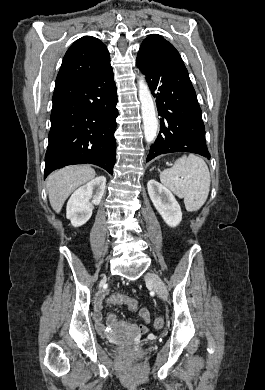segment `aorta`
I'll return each mask as SVG.
<instances>
[{
	"instance_id": "obj_1",
	"label": "aorta",
	"mask_w": 265,
	"mask_h": 390,
	"mask_svg": "<svg viewBox=\"0 0 265 390\" xmlns=\"http://www.w3.org/2000/svg\"><path fill=\"white\" fill-rule=\"evenodd\" d=\"M139 99L141 102V112L144 124L145 140L148 143L153 142L158 130V119L156 118V111L151 92L145 81L141 76L138 81Z\"/></svg>"
}]
</instances>
